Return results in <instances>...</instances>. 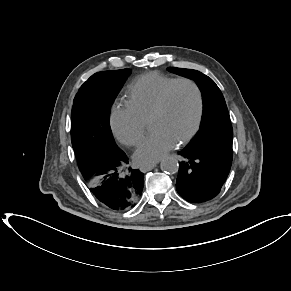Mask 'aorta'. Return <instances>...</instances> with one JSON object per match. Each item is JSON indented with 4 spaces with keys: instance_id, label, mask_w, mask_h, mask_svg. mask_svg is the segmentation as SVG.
I'll list each match as a JSON object with an SVG mask.
<instances>
[{
    "instance_id": "aorta-1",
    "label": "aorta",
    "mask_w": 291,
    "mask_h": 291,
    "mask_svg": "<svg viewBox=\"0 0 291 291\" xmlns=\"http://www.w3.org/2000/svg\"><path fill=\"white\" fill-rule=\"evenodd\" d=\"M160 168L166 173L174 174L178 172L179 164L176 158L166 157L161 161Z\"/></svg>"
}]
</instances>
